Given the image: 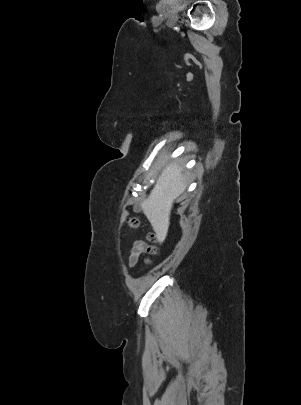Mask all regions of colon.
I'll use <instances>...</instances> for the list:
<instances>
[{
  "instance_id": "1",
  "label": "colon",
  "mask_w": 301,
  "mask_h": 405,
  "mask_svg": "<svg viewBox=\"0 0 301 405\" xmlns=\"http://www.w3.org/2000/svg\"><path fill=\"white\" fill-rule=\"evenodd\" d=\"M127 225L131 229L137 228L140 225V219L135 216L129 217L127 219ZM149 239L154 242L156 240V235L153 233H150ZM146 251L149 254H154V253H156V247L154 245H150L147 247Z\"/></svg>"
}]
</instances>
